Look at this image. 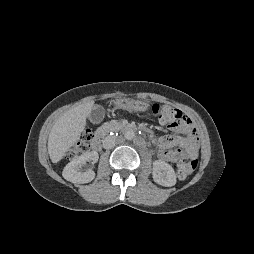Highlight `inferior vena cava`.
Returning a JSON list of instances; mask_svg holds the SVG:
<instances>
[{
  "instance_id": "obj_1",
  "label": "inferior vena cava",
  "mask_w": 254,
  "mask_h": 254,
  "mask_svg": "<svg viewBox=\"0 0 254 254\" xmlns=\"http://www.w3.org/2000/svg\"><path fill=\"white\" fill-rule=\"evenodd\" d=\"M104 149H112L115 146V137L107 136L102 141Z\"/></svg>"
}]
</instances>
